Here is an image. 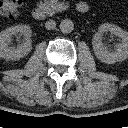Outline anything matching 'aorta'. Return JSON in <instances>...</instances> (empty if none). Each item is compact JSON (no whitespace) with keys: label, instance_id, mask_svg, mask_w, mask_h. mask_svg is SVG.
I'll list each match as a JSON object with an SVG mask.
<instances>
[{"label":"aorta","instance_id":"762f6f07","mask_svg":"<svg viewBox=\"0 0 128 128\" xmlns=\"http://www.w3.org/2000/svg\"><path fill=\"white\" fill-rule=\"evenodd\" d=\"M74 29V24L70 19H64L60 23V30L62 33L68 34L71 33Z\"/></svg>","mask_w":128,"mask_h":128}]
</instances>
